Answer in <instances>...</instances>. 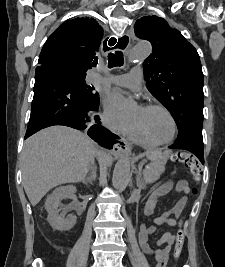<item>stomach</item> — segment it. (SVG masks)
Here are the masks:
<instances>
[{"label":"stomach","mask_w":225,"mask_h":267,"mask_svg":"<svg viewBox=\"0 0 225 267\" xmlns=\"http://www.w3.org/2000/svg\"><path fill=\"white\" fill-rule=\"evenodd\" d=\"M148 158H150L151 160H153V162L157 161V160H166V158L164 157V155L160 154V153H156V154H149Z\"/></svg>","instance_id":"1"}]
</instances>
